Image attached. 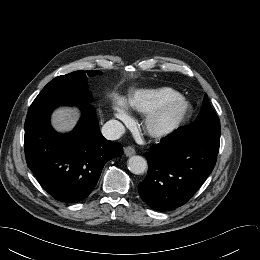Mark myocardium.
<instances>
[{
  "label": "myocardium",
  "mask_w": 260,
  "mask_h": 260,
  "mask_svg": "<svg viewBox=\"0 0 260 260\" xmlns=\"http://www.w3.org/2000/svg\"><path fill=\"white\" fill-rule=\"evenodd\" d=\"M177 104L178 114L170 122L163 125H155L154 122L168 107ZM190 112V103L182 95H176L172 98L162 101L144 114L142 128L151 138L162 139L177 131L185 122Z\"/></svg>",
  "instance_id": "1"
}]
</instances>
